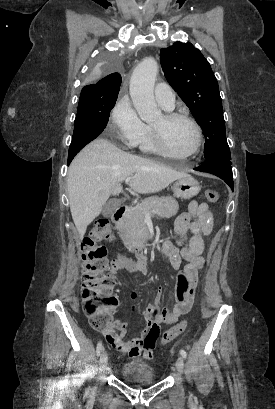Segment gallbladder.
<instances>
[{
	"label": "gallbladder",
	"instance_id": "1",
	"mask_svg": "<svg viewBox=\"0 0 275 409\" xmlns=\"http://www.w3.org/2000/svg\"><path fill=\"white\" fill-rule=\"evenodd\" d=\"M120 205V200H117V198H110V200H108V202H105V205H103V217H112V215H114L116 209H118Z\"/></svg>",
	"mask_w": 275,
	"mask_h": 409
}]
</instances>
